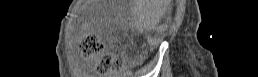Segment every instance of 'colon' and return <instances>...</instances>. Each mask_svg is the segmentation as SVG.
Instances as JSON below:
<instances>
[{
    "instance_id": "5ec220e1",
    "label": "colon",
    "mask_w": 258,
    "mask_h": 77,
    "mask_svg": "<svg viewBox=\"0 0 258 77\" xmlns=\"http://www.w3.org/2000/svg\"><path fill=\"white\" fill-rule=\"evenodd\" d=\"M79 48L86 57L102 56L98 64V72L105 73L108 69H120L124 61L110 54H103V45L95 34L86 35L79 43Z\"/></svg>"
}]
</instances>
